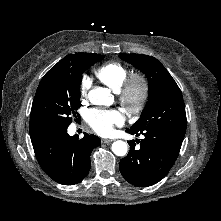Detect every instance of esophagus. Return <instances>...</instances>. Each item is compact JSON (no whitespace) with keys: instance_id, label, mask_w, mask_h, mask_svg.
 <instances>
[{"instance_id":"1","label":"esophagus","mask_w":221,"mask_h":221,"mask_svg":"<svg viewBox=\"0 0 221 221\" xmlns=\"http://www.w3.org/2000/svg\"><path fill=\"white\" fill-rule=\"evenodd\" d=\"M101 142L105 143V144H110L112 142V140L111 139H102Z\"/></svg>"}]
</instances>
